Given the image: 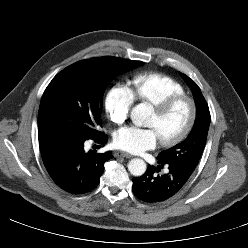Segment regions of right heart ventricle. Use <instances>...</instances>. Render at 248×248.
Returning <instances> with one entry per match:
<instances>
[{"label": "right heart ventricle", "mask_w": 248, "mask_h": 248, "mask_svg": "<svg viewBox=\"0 0 248 248\" xmlns=\"http://www.w3.org/2000/svg\"><path fill=\"white\" fill-rule=\"evenodd\" d=\"M127 88L133 100L150 105L172 95L185 94V88L180 82L159 73L137 74L131 78Z\"/></svg>", "instance_id": "1"}]
</instances>
